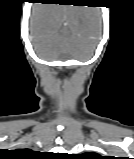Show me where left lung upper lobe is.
<instances>
[{"mask_svg":"<svg viewBox=\"0 0 134 159\" xmlns=\"http://www.w3.org/2000/svg\"><path fill=\"white\" fill-rule=\"evenodd\" d=\"M78 159H103L102 156L96 153H84L77 156Z\"/></svg>","mask_w":134,"mask_h":159,"instance_id":"obj_1","label":"left lung upper lobe"}]
</instances>
